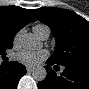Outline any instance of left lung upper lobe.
Returning <instances> with one entry per match:
<instances>
[{"label": "left lung upper lobe", "instance_id": "obj_1", "mask_svg": "<svg viewBox=\"0 0 89 89\" xmlns=\"http://www.w3.org/2000/svg\"><path fill=\"white\" fill-rule=\"evenodd\" d=\"M32 13L53 32L57 48L49 58L52 62L63 66L89 65L87 20L66 9L42 7Z\"/></svg>", "mask_w": 89, "mask_h": 89}]
</instances>
